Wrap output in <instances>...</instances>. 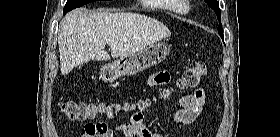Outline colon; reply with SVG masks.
I'll use <instances>...</instances> for the list:
<instances>
[{
	"instance_id": "1",
	"label": "colon",
	"mask_w": 280,
	"mask_h": 137,
	"mask_svg": "<svg viewBox=\"0 0 280 137\" xmlns=\"http://www.w3.org/2000/svg\"><path fill=\"white\" fill-rule=\"evenodd\" d=\"M208 73V68L205 64L199 63L195 66L186 68L176 82V88L180 90H190L198 86L202 78ZM169 95V91H164L163 96ZM147 106L146 101H140L136 105H118L111 107L105 104H97L94 102H78L67 100L60 103V109L65 116L71 120L85 121L91 119L98 114H107L109 112L123 111V112H141ZM125 137H133L135 135L126 133Z\"/></svg>"
}]
</instances>
